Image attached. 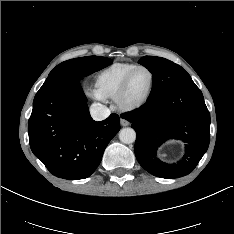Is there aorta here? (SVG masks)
I'll list each match as a JSON object with an SVG mask.
<instances>
[{
  "label": "aorta",
  "mask_w": 234,
  "mask_h": 234,
  "mask_svg": "<svg viewBox=\"0 0 234 234\" xmlns=\"http://www.w3.org/2000/svg\"><path fill=\"white\" fill-rule=\"evenodd\" d=\"M119 139L122 143L131 144L136 140V132L132 128H123L119 133Z\"/></svg>",
  "instance_id": "1"
}]
</instances>
